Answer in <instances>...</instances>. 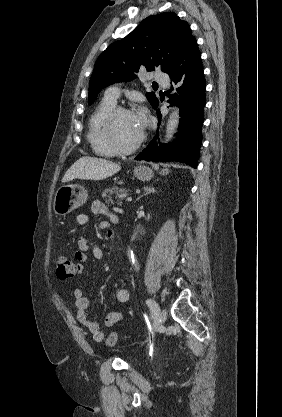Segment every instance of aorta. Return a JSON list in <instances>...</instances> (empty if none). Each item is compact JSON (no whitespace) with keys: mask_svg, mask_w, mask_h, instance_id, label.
<instances>
[{"mask_svg":"<svg viewBox=\"0 0 282 417\" xmlns=\"http://www.w3.org/2000/svg\"><path fill=\"white\" fill-rule=\"evenodd\" d=\"M179 108H173L167 122L166 126V140H170L172 138L174 132H176V128L179 122Z\"/></svg>","mask_w":282,"mask_h":417,"instance_id":"1","label":"aorta"}]
</instances>
